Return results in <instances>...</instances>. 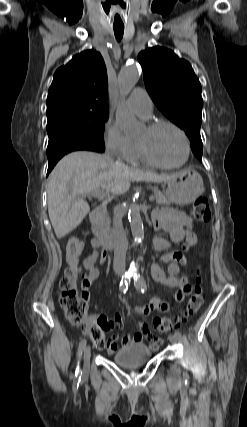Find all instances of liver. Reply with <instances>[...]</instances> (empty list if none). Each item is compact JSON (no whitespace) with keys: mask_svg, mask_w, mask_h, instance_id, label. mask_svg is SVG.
<instances>
[{"mask_svg":"<svg viewBox=\"0 0 247 427\" xmlns=\"http://www.w3.org/2000/svg\"><path fill=\"white\" fill-rule=\"evenodd\" d=\"M174 175H159L130 168L107 155L76 151L64 156L48 179V213L58 239L72 232L90 207L82 196L100 188L114 196L127 192L131 181L166 182Z\"/></svg>","mask_w":247,"mask_h":427,"instance_id":"6515ba94","label":"liver"}]
</instances>
